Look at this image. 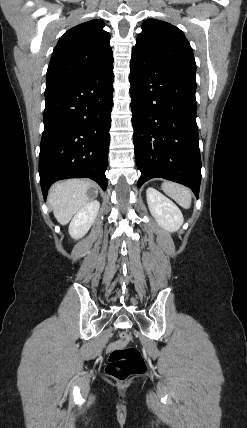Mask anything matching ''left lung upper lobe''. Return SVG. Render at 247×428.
Listing matches in <instances>:
<instances>
[{"mask_svg":"<svg viewBox=\"0 0 247 428\" xmlns=\"http://www.w3.org/2000/svg\"><path fill=\"white\" fill-rule=\"evenodd\" d=\"M132 53L149 57L163 67L195 80L192 48L183 32L170 23L146 20Z\"/></svg>","mask_w":247,"mask_h":428,"instance_id":"5c2ea615","label":"left lung upper lobe"}]
</instances>
